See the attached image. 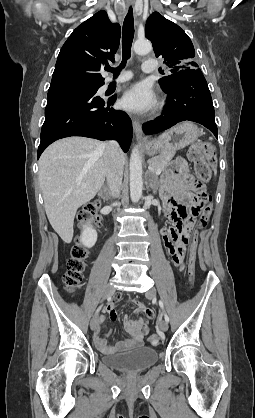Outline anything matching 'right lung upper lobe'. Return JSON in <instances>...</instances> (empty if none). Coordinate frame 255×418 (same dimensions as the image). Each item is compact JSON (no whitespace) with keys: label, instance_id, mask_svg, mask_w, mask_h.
<instances>
[{"label":"right lung upper lobe","instance_id":"cb5924a9","mask_svg":"<svg viewBox=\"0 0 255 418\" xmlns=\"http://www.w3.org/2000/svg\"><path fill=\"white\" fill-rule=\"evenodd\" d=\"M120 35L119 24L111 23L105 11L79 25L60 50L50 88L104 83L99 71L107 60L114 61Z\"/></svg>","mask_w":255,"mask_h":418}]
</instances>
